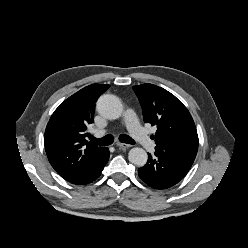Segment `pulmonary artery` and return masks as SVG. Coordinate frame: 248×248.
<instances>
[{"label":"pulmonary artery","mask_w":248,"mask_h":248,"mask_svg":"<svg viewBox=\"0 0 248 248\" xmlns=\"http://www.w3.org/2000/svg\"><path fill=\"white\" fill-rule=\"evenodd\" d=\"M125 124L131 133L134 140H136L144 149L153 152L155 149L154 142L146 134L145 130L139 125L136 115L132 109L125 112ZM105 131H96V135H102Z\"/></svg>","instance_id":"pulmonary-artery-1"}]
</instances>
